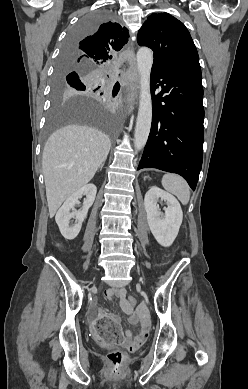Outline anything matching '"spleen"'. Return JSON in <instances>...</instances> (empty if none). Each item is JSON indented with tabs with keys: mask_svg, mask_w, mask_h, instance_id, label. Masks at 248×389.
I'll use <instances>...</instances> for the list:
<instances>
[{
	"mask_svg": "<svg viewBox=\"0 0 248 389\" xmlns=\"http://www.w3.org/2000/svg\"><path fill=\"white\" fill-rule=\"evenodd\" d=\"M163 188L174 194L183 205H186L190 199V188L187 182L179 175L167 173L162 178Z\"/></svg>",
	"mask_w": 248,
	"mask_h": 389,
	"instance_id": "obj_1",
	"label": "spleen"
}]
</instances>
